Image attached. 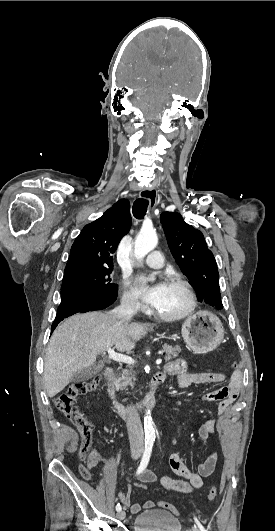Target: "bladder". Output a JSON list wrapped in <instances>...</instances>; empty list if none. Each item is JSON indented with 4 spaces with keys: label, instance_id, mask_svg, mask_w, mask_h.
<instances>
[{
    "label": "bladder",
    "instance_id": "31cf9c89",
    "mask_svg": "<svg viewBox=\"0 0 275 531\" xmlns=\"http://www.w3.org/2000/svg\"><path fill=\"white\" fill-rule=\"evenodd\" d=\"M133 531H181V523L173 513L153 509L135 516Z\"/></svg>",
    "mask_w": 275,
    "mask_h": 531
}]
</instances>
